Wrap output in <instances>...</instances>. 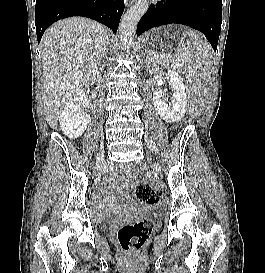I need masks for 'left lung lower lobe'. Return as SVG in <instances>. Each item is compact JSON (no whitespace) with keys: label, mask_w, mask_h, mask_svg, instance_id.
<instances>
[{"label":"left lung lower lobe","mask_w":265,"mask_h":273,"mask_svg":"<svg viewBox=\"0 0 265 273\" xmlns=\"http://www.w3.org/2000/svg\"><path fill=\"white\" fill-rule=\"evenodd\" d=\"M172 23L201 31L216 51L222 23V1L166 0L151 5L137 25V35L153 27Z\"/></svg>","instance_id":"0a47b994"}]
</instances>
